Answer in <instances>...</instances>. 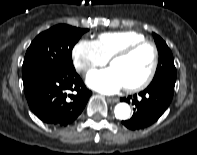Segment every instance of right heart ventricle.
<instances>
[{"instance_id":"e07e8e85","label":"right heart ventricle","mask_w":197,"mask_h":155,"mask_svg":"<svg viewBox=\"0 0 197 155\" xmlns=\"http://www.w3.org/2000/svg\"><path fill=\"white\" fill-rule=\"evenodd\" d=\"M146 40L145 36L133 30L108 31L98 35L96 42L104 55L109 59L121 48L139 41Z\"/></svg>"}]
</instances>
